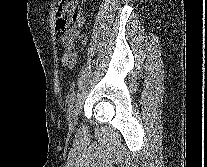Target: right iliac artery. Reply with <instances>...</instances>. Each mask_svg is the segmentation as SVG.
Listing matches in <instances>:
<instances>
[{"label":"right iliac artery","mask_w":207,"mask_h":167,"mask_svg":"<svg viewBox=\"0 0 207 167\" xmlns=\"http://www.w3.org/2000/svg\"><path fill=\"white\" fill-rule=\"evenodd\" d=\"M74 100H75V92H72L69 97H68V105H69V108L72 107L73 103H74Z\"/></svg>","instance_id":"obj_1"}]
</instances>
